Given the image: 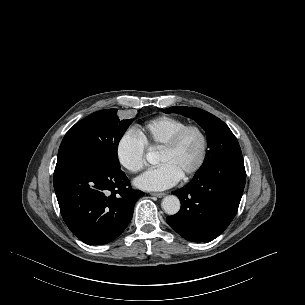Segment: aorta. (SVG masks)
<instances>
[{"instance_id":"aorta-1","label":"aorta","mask_w":305,"mask_h":305,"mask_svg":"<svg viewBox=\"0 0 305 305\" xmlns=\"http://www.w3.org/2000/svg\"><path fill=\"white\" fill-rule=\"evenodd\" d=\"M147 160L149 162L153 161V155L151 153L147 154ZM161 206L165 213L168 215H174L180 210V200L174 195H168L163 198Z\"/></svg>"}]
</instances>
